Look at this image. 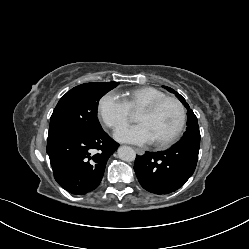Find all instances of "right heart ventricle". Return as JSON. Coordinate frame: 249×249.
Returning a JSON list of instances; mask_svg holds the SVG:
<instances>
[{
	"label": "right heart ventricle",
	"instance_id": "obj_1",
	"mask_svg": "<svg viewBox=\"0 0 249 249\" xmlns=\"http://www.w3.org/2000/svg\"><path fill=\"white\" fill-rule=\"evenodd\" d=\"M165 96L164 92L152 87L135 88L122 95L124 103L132 112H137L143 106Z\"/></svg>",
	"mask_w": 249,
	"mask_h": 249
}]
</instances>
